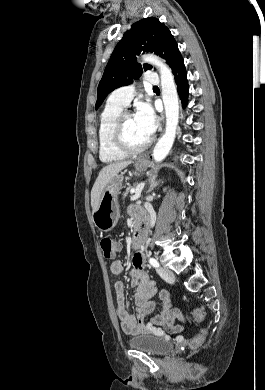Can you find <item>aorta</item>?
Wrapping results in <instances>:
<instances>
[{"mask_svg":"<svg viewBox=\"0 0 265 390\" xmlns=\"http://www.w3.org/2000/svg\"><path fill=\"white\" fill-rule=\"evenodd\" d=\"M143 61L157 67L161 79L162 99L165 107L166 127L153 150V158L161 162L171 150L179 120V101L173 74L169 66L156 55H144Z\"/></svg>","mask_w":265,"mask_h":390,"instance_id":"1","label":"aorta"}]
</instances>
